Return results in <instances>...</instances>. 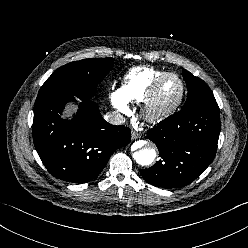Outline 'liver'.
<instances>
[{"label":"liver","mask_w":248,"mask_h":248,"mask_svg":"<svg viewBox=\"0 0 248 248\" xmlns=\"http://www.w3.org/2000/svg\"><path fill=\"white\" fill-rule=\"evenodd\" d=\"M76 108L72 105H68L66 107V110L64 112V114L62 115L63 118H71L73 113L75 112Z\"/></svg>","instance_id":"obj_1"}]
</instances>
